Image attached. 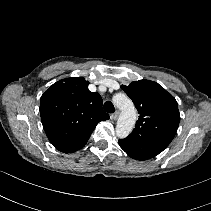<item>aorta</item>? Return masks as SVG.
Returning <instances> with one entry per match:
<instances>
[{"label":"aorta","mask_w":211,"mask_h":211,"mask_svg":"<svg viewBox=\"0 0 211 211\" xmlns=\"http://www.w3.org/2000/svg\"><path fill=\"white\" fill-rule=\"evenodd\" d=\"M113 101L121 110V114L116 125V135L117 137L123 139L126 138L133 130L136 123L137 112L131 99L123 93L115 95Z\"/></svg>","instance_id":"1"}]
</instances>
